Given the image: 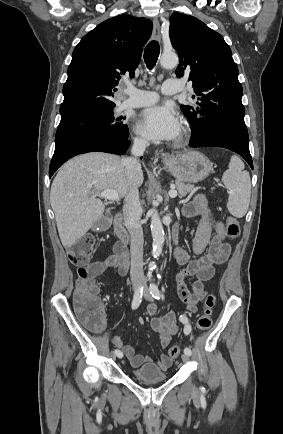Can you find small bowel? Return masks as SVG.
<instances>
[{"instance_id":"obj_1","label":"small bowel","mask_w":283,"mask_h":434,"mask_svg":"<svg viewBox=\"0 0 283 434\" xmlns=\"http://www.w3.org/2000/svg\"><path fill=\"white\" fill-rule=\"evenodd\" d=\"M185 217H199V224L193 242V253L202 255L196 260H191L189 253L176 246L174 248V258L183 266L176 276L177 292L180 299L185 303L189 312H195L199 302L206 296L205 281L211 279L215 273V266L223 264L229 257L231 247L226 241L224 225L215 219L207 199L202 194H197L189 201L182 210ZM115 267L121 276L127 274L129 269L128 253L119 242L114 245V253L103 260L92 263L89 271L93 276L104 273L108 268ZM194 277L192 285L187 284V279ZM103 313L104 309L102 308ZM157 311L156 304H149L146 313L152 317L151 327L160 336L162 348H166L171 337L178 331V322L175 313L169 312L161 317H154ZM104 322L102 328L104 327ZM115 347L129 359L132 367L139 368L145 363H152L149 356L136 354L130 345H125L122 339L115 335L112 339ZM172 363L169 354H162L157 366L166 371Z\"/></svg>"}]
</instances>
